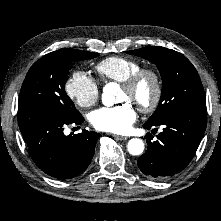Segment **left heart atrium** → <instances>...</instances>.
Here are the masks:
<instances>
[{
	"label": "left heart atrium",
	"mask_w": 221,
	"mask_h": 221,
	"mask_svg": "<svg viewBox=\"0 0 221 221\" xmlns=\"http://www.w3.org/2000/svg\"><path fill=\"white\" fill-rule=\"evenodd\" d=\"M135 120L136 112L129 102L113 107H102L90 115V121L96 129L112 133H126Z\"/></svg>",
	"instance_id": "left-heart-atrium-1"
}]
</instances>
